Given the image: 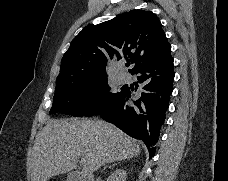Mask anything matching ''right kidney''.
<instances>
[{"instance_id": "obj_1", "label": "right kidney", "mask_w": 228, "mask_h": 181, "mask_svg": "<svg viewBox=\"0 0 228 181\" xmlns=\"http://www.w3.org/2000/svg\"><path fill=\"white\" fill-rule=\"evenodd\" d=\"M127 173L126 171H116V173H112L111 177H109L108 181H126Z\"/></svg>"}]
</instances>
